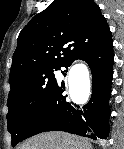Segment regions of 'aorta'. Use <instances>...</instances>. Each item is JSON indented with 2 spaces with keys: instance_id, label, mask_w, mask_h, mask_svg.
<instances>
[{
  "instance_id": "aorta-1",
  "label": "aorta",
  "mask_w": 124,
  "mask_h": 149,
  "mask_svg": "<svg viewBox=\"0 0 124 149\" xmlns=\"http://www.w3.org/2000/svg\"><path fill=\"white\" fill-rule=\"evenodd\" d=\"M87 76V71L83 66H74L69 73V80L71 87L75 84L78 79L85 80Z\"/></svg>"
}]
</instances>
